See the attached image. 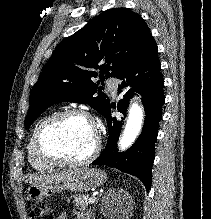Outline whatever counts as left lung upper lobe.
I'll list each match as a JSON object with an SVG mask.
<instances>
[{
  "instance_id": "obj_1",
  "label": "left lung upper lobe",
  "mask_w": 211,
  "mask_h": 219,
  "mask_svg": "<svg viewBox=\"0 0 211 219\" xmlns=\"http://www.w3.org/2000/svg\"><path fill=\"white\" fill-rule=\"evenodd\" d=\"M150 35L142 17L127 8L109 9L94 17L54 50L31 90L25 127L49 106L63 101L89 104L104 115L110 100L99 84L117 77ZM97 76L98 84L92 81Z\"/></svg>"
}]
</instances>
